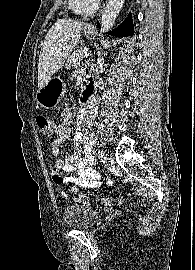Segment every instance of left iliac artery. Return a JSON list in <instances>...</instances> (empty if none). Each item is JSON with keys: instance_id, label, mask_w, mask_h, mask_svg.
<instances>
[{"instance_id": "1", "label": "left iliac artery", "mask_w": 195, "mask_h": 270, "mask_svg": "<svg viewBox=\"0 0 195 270\" xmlns=\"http://www.w3.org/2000/svg\"><path fill=\"white\" fill-rule=\"evenodd\" d=\"M103 152H99V158L102 160V158H103Z\"/></svg>"}]
</instances>
